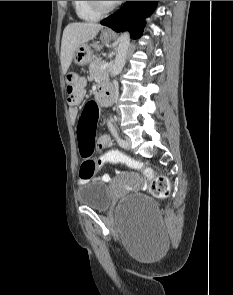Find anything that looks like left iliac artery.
Listing matches in <instances>:
<instances>
[{"label":"left iliac artery","mask_w":233,"mask_h":295,"mask_svg":"<svg viewBox=\"0 0 233 295\" xmlns=\"http://www.w3.org/2000/svg\"><path fill=\"white\" fill-rule=\"evenodd\" d=\"M108 127L109 130L111 131L112 135L114 136V138L117 140V142L119 143V145H125L127 142L125 140H122L119 135L118 132L115 128V126L112 124L111 121H108Z\"/></svg>","instance_id":"obj_1"}]
</instances>
